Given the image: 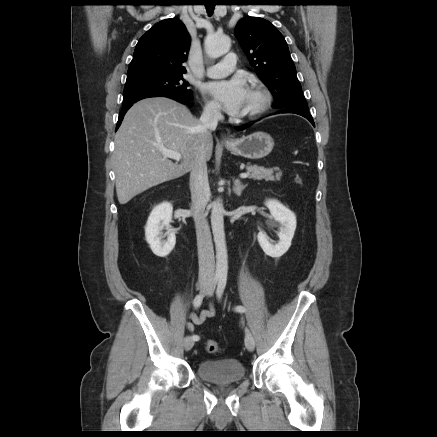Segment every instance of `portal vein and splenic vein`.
I'll use <instances>...</instances> for the list:
<instances>
[{
    "label": "portal vein and splenic vein",
    "mask_w": 437,
    "mask_h": 437,
    "mask_svg": "<svg viewBox=\"0 0 437 437\" xmlns=\"http://www.w3.org/2000/svg\"><path fill=\"white\" fill-rule=\"evenodd\" d=\"M160 151L163 153V155H164L165 157H168V158L174 159V160H176V161L181 160V154H180L179 152L172 151V150L166 149V148H164V147H161V148H160ZM248 176H249V173H241V174H240V177H241V178H247Z\"/></svg>",
    "instance_id": "18ae733b"
}]
</instances>
